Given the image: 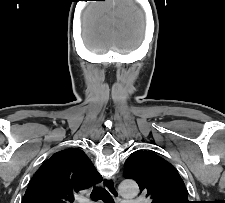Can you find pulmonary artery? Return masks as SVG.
Segmentation results:
<instances>
[{
	"instance_id": "pulmonary-artery-1",
	"label": "pulmonary artery",
	"mask_w": 225,
	"mask_h": 203,
	"mask_svg": "<svg viewBox=\"0 0 225 203\" xmlns=\"http://www.w3.org/2000/svg\"><path fill=\"white\" fill-rule=\"evenodd\" d=\"M123 203H141L139 200H124Z\"/></svg>"
}]
</instances>
